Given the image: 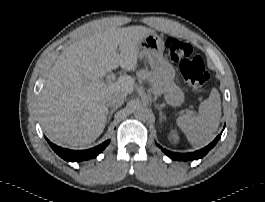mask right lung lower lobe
Returning <instances> with one entry per match:
<instances>
[{"mask_svg": "<svg viewBox=\"0 0 265 202\" xmlns=\"http://www.w3.org/2000/svg\"><path fill=\"white\" fill-rule=\"evenodd\" d=\"M49 142V141H48ZM110 140H107L103 142L102 144L88 149V150H81V151H75V150H69L65 148H61L59 146H56L55 144H52L49 142L51 148L63 159L67 161H83L90 158H94L97 155H99L109 144Z\"/></svg>", "mask_w": 265, "mask_h": 202, "instance_id": "98d812e1", "label": "right lung lower lobe"}]
</instances>
